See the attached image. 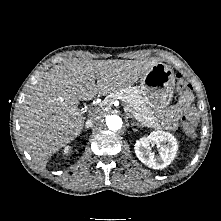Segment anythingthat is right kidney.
I'll use <instances>...</instances> for the list:
<instances>
[{"label":"right kidney","mask_w":221,"mask_h":221,"mask_svg":"<svg viewBox=\"0 0 221 221\" xmlns=\"http://www.w3.org/2000/svg\"><path fill=\"white\" fill-rule=\"evenodd\" d=\"M69 149H70V147H69V146H66V147L64 148V154L68 153V152H69Z\"/></svg>","instance_id":"right-kidney-1"}]
</instances>
